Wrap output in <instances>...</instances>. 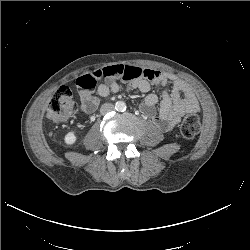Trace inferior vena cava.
Masks as SVG:
<instances>
[{
    "label": "inferior vena cava",
    "instance_id": "inferior-vena-cava-1",
    "mask_svg": "<svg viewBox=\"0 0 250 250\" xmlns=\"http://www.w3.org/2000/svg\"><path fill=\"white\" fill-rule=\"evenodd\" d=\"M114 110V105L110 104V103H105L101 106L100 112L101 114H106L110 111Z\"/></svg>",
    "mask_w": 250,
    "mask_h": 250
}]
</instances>
